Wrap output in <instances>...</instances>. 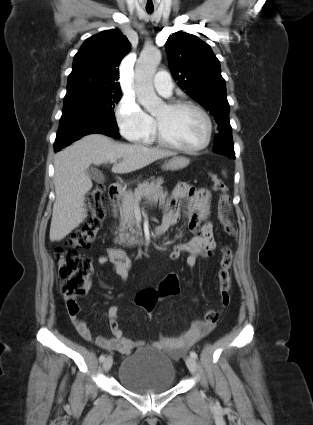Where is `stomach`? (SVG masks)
I'll return each instance as SVG.
<instances>
[{"label": "stomach", "mask_w": 313, "mask_h": 425, "mask_svg": "<svg viewBox=\"0 0 313 425\" xmlns=\"http://www.w3.org/2000/svg\"><path fill=\"white\" fill-rule=\"evenodd\" d=\"M190 163L189 158L184 157V156H174L172 159H170L168 162H166L162 168L164 170H169V171H177V170H181L184 169L185 167H187Z\"/></svg>", "instance_id": "0dacf381"}]
</instances>
